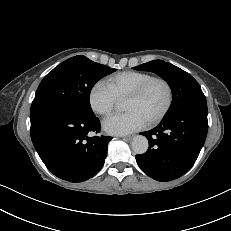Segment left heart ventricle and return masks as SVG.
<instances>
[{
  "instance_id": "obj_1",
  "label": "left heart ventricle",
  "mask_w": 231,
  "mask_h": 231,
  "mask_svg": "<svg viewBox=\"0 0 231 231\" xmlns=\"http://www.w3.org/2000/svg\"><path fill=\"white\" fill-rule=\"evenodd\" d=\"M167 92L163 84H153L148 92L140 99L127 98L125 110H135L141 113L147 120L156 116L166 103Z\"/></svg>"
}]
</instances>
